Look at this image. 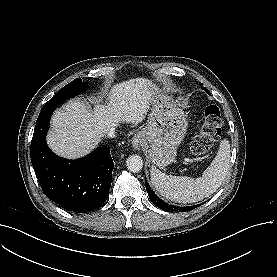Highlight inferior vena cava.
Here are the masks:
<instances>
[{
    "label": "inferior vena cava",
    "mask_w": 277,
    "mask_h": 277,
    "mask_svg": "<svg viewBox=\"0 0 277 277\" xmlns=\"http://www.w3.org/2000/svg\"><path fill=\"white\" fill-rule=\"evenodd\" d=\"M115 136H116V129L113 127L109 130L108 137L109 138H114Z\"/></svg>",
    "instance_id": "602c4592"
}]
</instances>
